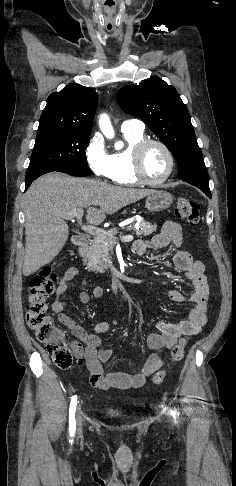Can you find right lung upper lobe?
Returning <instances> with one entry per match:
<instances>
[{"mask_svg": "<svg viewBox=\"0 0 236 486\" xmlns=\"http://www.w3.org/2000/svg\"><path fill=\"white\" fill-rule=\"evenodd\" d=\"M97 103L98 95L95 91L71 83L48 97L38 130L58 129L90 133Z\"/></svg>", "mask_w": 236, "mask_h": 486, "instance_id": "cb5924a9", "label": "right lung upper lobe"}]
</instances>
